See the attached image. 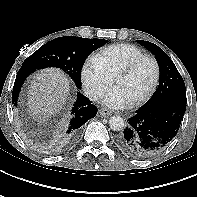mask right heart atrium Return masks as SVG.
<instances>
[{
    "label": "right heart atrium",
    "instance_id": "d8ad5b80",
    "mask_svg": "<svg viewBox=\"0 0 197 197\" xmlns=\"http://www.w3.org/2000/svg\"><path fill=\"white\" fill-rule=\"evenodd\" d=\"M81 79L87 95L92 100H98L113 83V78L105 72L94 57L88 58L83 64Z\"/></svg>",
    "mask_w": 197,
    "mask_h": 197
}]
</instances>
